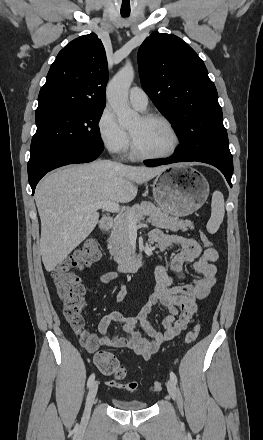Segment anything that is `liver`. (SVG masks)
I'll return each mask as SVG.
<instances>
[{"label":"liver","instance_id":"obj_1","mask_svg":"<svg viewBox=\"0 0 263 440\" xmlns=\"http://www.w3.org/2000/svg\"><path fill=\"white\" fill-rule=\"evenodd\" d=\"M169 166L145 167L100 160L73 165L47 175L37 186L35 201L41 220L40 253L50 272L96 227L97 210L84 207L104 201L128 203L137 185L160 175Z\"/></svg>","mask_w":263,"mask_h":440}]
</instances>
